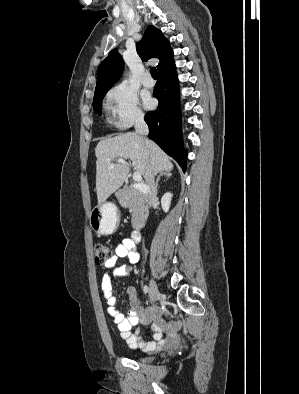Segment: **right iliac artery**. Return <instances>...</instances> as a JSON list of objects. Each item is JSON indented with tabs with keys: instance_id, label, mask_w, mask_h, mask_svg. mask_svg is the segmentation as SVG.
Instances as JSON below:
<instances>
[{
	"instance_id": "obj_1",
	"label": "right iliac artery",
	"mask_w": 299,
	"mask_h": 394,
	"mask_svg": "<svg viewBox=\"0 0 299 394\" xmlns=\"http://www.w3.org/2000/svg\"><path fill=\"white\" fill-rule=\"evenodd\" d=\"M143 291H144L145 294H147V293L149 292V288H148L147 285H145V286L143 287Z\"/></svg>"
}]
</instances>
